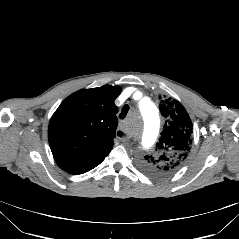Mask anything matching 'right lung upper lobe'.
<instances>
[{"mask_svg": "<svg viewBox=\"0 0 239 239\" xmlns=\"http://www.w3.org/2000/svg\"><path fill=\"white\" fill-rule=\"evenodd\" d=\"M120 92V87L110 85L82 89L55 111L48 140L56 163L64 171L88 172L110 153L118 124L114 101Z\"/></svg>", "mask_w": 239, "mask_h": 239, "instance_id": "right-lung-upper-lobe-1", "label": "right lung upper lobe"}]
</instances>
